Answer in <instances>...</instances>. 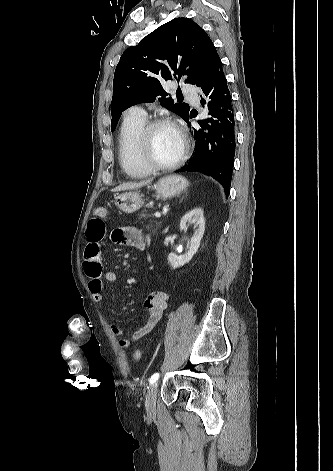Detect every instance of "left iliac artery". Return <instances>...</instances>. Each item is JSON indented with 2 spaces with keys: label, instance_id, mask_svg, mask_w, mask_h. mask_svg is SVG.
<instances>
[{
  "label": "left iliac artery",
  "instance_id": "obj_1",
  "mask_svg": "<svg viewBox=\"0 0 333 471\" xmlns=\"http://www.w3.org/2000/svg\"><path fill=\"white\" fill-rule=\"evenodd\" d=\"M158 378H159V373H154V374L150 377L149 383H150V384L155 383V382L158 380Z\"/></svg>",
  "mask_w": 333,
  "mask_h": 471
}]
</instances>
